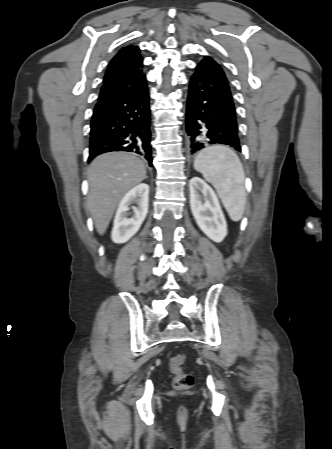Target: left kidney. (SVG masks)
Returning <instances> with one entry per match:
<instances>
[{
	"instance_id": "1",
	"label": "left kidney",
	"mask_w": 332,
	"mask_h": 449,
	"mask_svg": "<svg viewBox=\"0 0 332 449\" xmlns=\"http://www.w3.org/2000/svg\"><path fill=\"white\" fill-rule=\"evenodd\" d=\"M190 208L199 228L211 240L222 242L227 235V223L213 189L200 177L189 181Z\"/></svg>"
}]
</instances>
